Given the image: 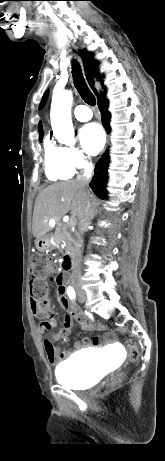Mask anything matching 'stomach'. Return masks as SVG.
Returning <instances> with one entry per match:
<instances>
[{"label":"stomach","mask_w":165,"mask_h":461,"mask_svg":"<svg viewBox=\"0 0 165 461\" xmlns=\"http://www.w3.org/2000/svg\"><path fill=\"white\" fill-rule=\"evenodd\" d=\"M36 249L40 252H44L48 249H51V236L49 234L44 235L36 240L35 242Z\"/></svg>","instance_id":"0dacf381"}]
</instances>
